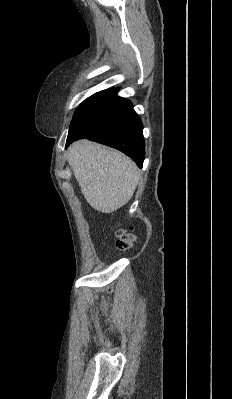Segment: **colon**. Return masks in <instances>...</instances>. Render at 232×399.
<instances>
[{"mask_svg":"<svg viewBox=\"0 0 232 399\" xmlns=\"http://www.w3.org/2000/svg\"><path fill=\"white\" fill-rule=\"evenodd\" d=\"M132 241H137V236H134L133 232L125 233L120 228L116 229V248L120 249V252H125V249H129Z\"/></svg>","mask_w":232,"mask_h":399,"instance_id":"obj_1","label":"colon"}]
</instances>
